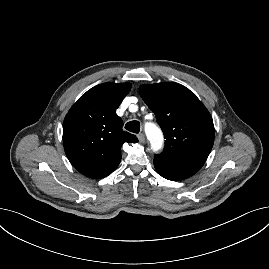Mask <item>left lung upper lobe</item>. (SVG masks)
Returning <instances> with one entry per match:
<instances>
[{"label":"left lung upper lobe","mask_w":269,"mask_h":269,"mask_svg":"<svg viewBox=\"0 0 269 269\" xmlns=\"http://www.w3.org/2000/svg\"><path fill=\"white\" fill-rule=\"evenodd\" d=\"M139 93L165 137L164 157L205 162L214 142L213 120L202 102L175 82L142 85Z\"/></svg>","instance_id":"left-lung-upper-lobe-1"}]
</instances>
